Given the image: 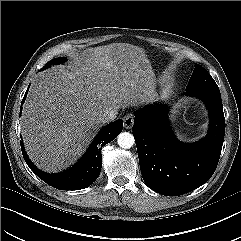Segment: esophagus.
I'll use <instances>...</instances> for the list:
<instances>
[{
    "label": "esophagus",
    "mask_w": 241,
    "mask_h": 241,
    "mask_svg": "<svg viewBox=\"0 0 241 241\" xmlns=\"http://www.w3.org/2000/svg\"><path fill=\"white\" fill-rule=\"evenodd\" d=\"M123 120H124V127L126 129H131L133 124H134V117H133V115L132 114H127V115H125Z\"/></svg>",
    "instance_id": "esophagus-1"
}]
</instances>
